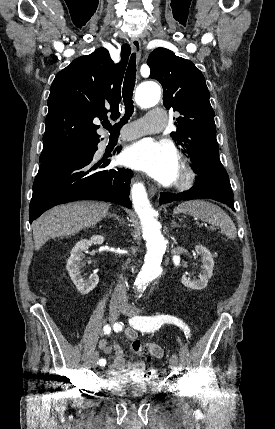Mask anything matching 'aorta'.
<instances>
[{
    "mask_svg": "<svg viewBox=\"0 0 275 429\" xmlns=\"http://www.w3.org/2000/svg\"><path fill=\"white\" fill-rule=\"evenodd\" d=\"M160 87L153 82L141 84L136 92V102L142 108H149L159 102ZM132 203L142 225V237L146 241L147 253L144 265L136 278L138 289L144 288L157 278L161 272V262L165 254L167 241L160 230V224L155 219V211L150 205L145 187L135 183L131 189Z\"/></svg>",
    "mask_w": 275,
    "mask_h": 429,
    "instance_id": "obj_1",
    "label": "aorta"
}]
</instances>
